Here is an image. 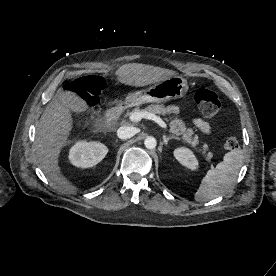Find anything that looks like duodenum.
<instances>
[{
  "label": "duodenum",
  "instance_id": "410a0bca",
  "mask_svg": "<svg viewBox=\"0 0 276 276\" xmlns=\"http://www.w3.org/2000/svg\"><path fill=\"white\" fill-rule=\"evenodd\" d=\"M124 105L123 104H116L112 107H110L105 114V119L98 126V131L99 132H106L108 131L117 121L119 115L122 113L124 110Z\"/></svg>",
  "mask_w": 276,
  "mask_h": 276
}]
</instances>
